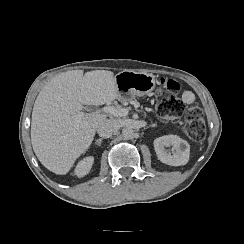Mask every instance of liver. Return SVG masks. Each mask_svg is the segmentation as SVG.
Segmentation results:
<instances>
[{
  "mask_svg": "<svg viewBox=\"0 0 244 244\" xmlns=\"http://www.w3.org/2000/svg\"><path fill=\"white\" fill-rule=\"evenodd\" d=\"M114 72L83 70L62 72L48 81L33 105L31 145L41 164L49 171L66 175L92 144L96 129L107 118L86 114L75 125L72 116L82 105H104L119 98Z\"/></svg>",
  "mask_w": 244,
  "mask_h": 244,
  "instance_id": "1",
  "label": "liver"
}]
</instances>
